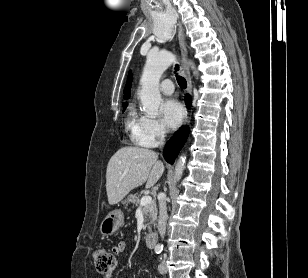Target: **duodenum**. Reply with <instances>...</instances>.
<instances>
[{
  "label": "duodenum",
  "instance_id": "410a0bca",
  "mask_svg": "<svg viewBox=\"0 0 308 278\" xmlns=\"http://www.w3.org/2000/svg\"><path fill=\"white\" fill-rule=\"evenodd\" d=\"M157 240H158V235L156 232H150L146 236V244L150 248L156 246Z\"/></svg>",
  "mask_w": 308,
  "mask_h": 278
}]
</instances>
